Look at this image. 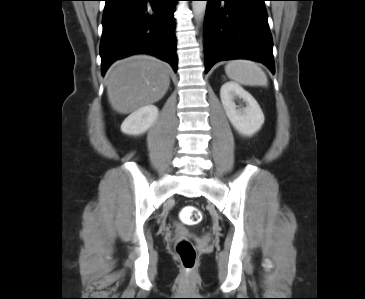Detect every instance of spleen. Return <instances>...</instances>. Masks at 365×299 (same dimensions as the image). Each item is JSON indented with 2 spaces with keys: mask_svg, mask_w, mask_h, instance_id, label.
I'll return each mask as SVG.
<instances>
[{
  "mask_svg": "<svg viewBox=\"0 0 365 299\" xmlns=\"http://www.w3.org/2000/svg\"><path fill=\"white\" fill-rule=\"evenodd\" d=\"M225 72L229 79L241 85L267 86L268 84L266 74L253 61L232 60L225 66Z\"/></svg>",
  "mask_w": 365,
  "mask_h": 299,
  "instance_id": "1",
  "label": "spleen"
}]
</instances>
